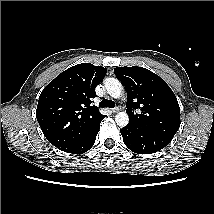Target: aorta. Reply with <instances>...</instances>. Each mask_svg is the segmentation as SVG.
<instances>
[{
	"instance_id": "aorta-1",
	"label": "aorta",
	"mask_w": 214,
	"mask_h": 214,
	"mask_svg": "<svg viewBox=\"0 0 214 214\" xmlns=\"http://www.w3.org/2000/svg\"><path fill=\"white\" fill-rule=\"evenodd\" d=\"M104 86L111 97L115 99L120 98L123 92V86L119 80L116 78H106L104 80ZM115 122L120 127L127 126L129 122L128 114L125 111L117 113L115 116Z\"/></svg>"
}]
</instances>
